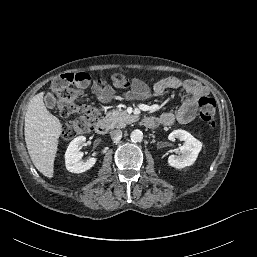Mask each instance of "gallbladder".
<instances>
[{
    "mask_svg": "<svg viewBox=\"0 0 257 257\" xmlns=\"http://www.w3.org/2000/svg\"><path fill=\"white\" fill-rule=\"evenodd\" d=\"M45 103L47 105L48 108L50 109H54L55 105H56V98L53 95V93L48 92L45 97H44Z\"/></svg>",
    "mask_w": 257,
    "mask_h": 257,
    "instance_id": "obj_1",
    "label": "gallbladder"
}]
</instances>
